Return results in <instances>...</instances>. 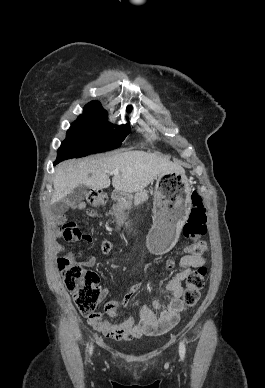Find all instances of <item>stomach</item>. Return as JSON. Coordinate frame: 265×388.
Segmentation results:
<instances>
[{
  "mask_svg": "<svg viewBox=\"0 0 265 388\" xmlns=\"http://www.w3.org/2000/svg\"><path fill=\"white\" fill-rule=\"evenodd\" d=\"M130 202L120 198L116 210L120 221ZM191 206V185L185 172H165L156 176L153 200L154 225L148 243L155 254H164L176 244Z\"/></svg>",
  "mask_w": 265,
  "mask_h": 388,
  "instance_id": "stomach-1",
  "label": "stomach"
}]
</instances>
